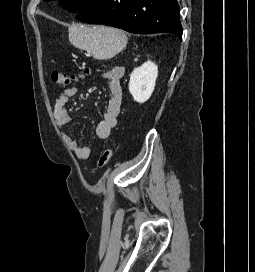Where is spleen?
<instances>
[{"instance_id": "1", "label": "spleen", "mask_w": 255, "mask_h": 272, "mask_svg": "<svg viewBox=\"0 0 255 272\" xmlns=\"http://www.w3.org/2000/svg\"><path fill=\"white\" fill-rule=\"evenodd\" d=\"M69 41L79 49L92 53L95 59H110L127 45L124 31L101 25L73 24L69 27Z\"/></svg>"}]
</instances>
